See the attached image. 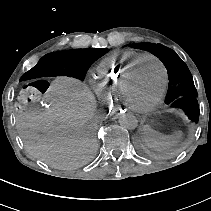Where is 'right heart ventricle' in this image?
<instances>
[{"mask_svg":"<svg viewBox=\"0 0 211 211\" xmlns=\"http://www.w3.org/2000/svg\"><path fill=\"white\" fill-rule=\"evenodd\" d=\"M146 53L135 54L132 50L113 53L94 69L95 87L103 103L107 106L118 103L120 89L126 74L131 71Z\"/></svg>","mask_w":211,"mask_h":211,"instance_id":"e07e8e85","label":"right heart ventricle"}]
</instances>
